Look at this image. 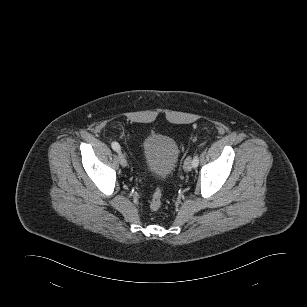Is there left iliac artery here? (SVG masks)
<instances>
[{
  "label": "left iliac artery",
  "instance_id": "44dca946",
  "mask_svg": "<svg viewBox=\"0 0 307 307\" xmlns=\"http://www.w3.org/2000/svg\"><path fill=\"white\" fill-rule=\"evenodd\" d=\"M198 164H199V158H198V154H196L192 160V166L196 168Z\"/></svg>",
  "mask_w": 307,
  "mask_h": 307
}]
</instances>
